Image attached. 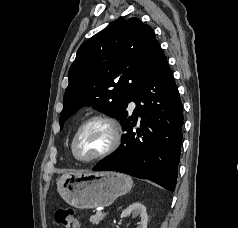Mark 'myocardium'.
Wrapping results in <instances>:
<instances>
[{"label":"myocardium","mask_w":238,"mask_h":228,"mask_svg":"<svg viewBox=\"0 0 238 228\" xmlns=\"http://www.w3.org/2000/svg\"><path fill=\"white\" fill-rule=\"evenodd\" d=\"M95 122H101L109 128L111 132V142L108 145V147L100 154L91 158H87V159L80 158L76 153L77 140L81 132L83 131V129H85L87 126ZM120 143H121V134H120L118 123L110 116H107L104 114H94L86 118L84 121H82L80 125L78 126V128L76 129L71 141V151H72L73 157L77 161L82 163H92V162L100 161L108 157L109 155H111L119 147Z\"/></svg>","instance_id":"obj_1"}]
</instances>
